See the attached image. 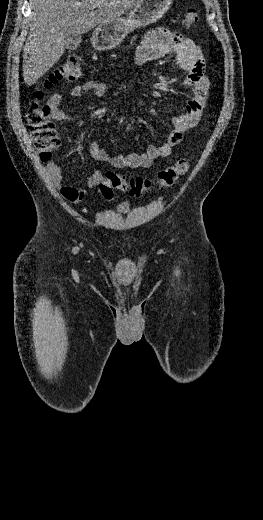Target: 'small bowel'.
Here are the masks:
<instances>
[{"instance_id":"1","label":"small bowel","mask_w":263,"mask_h":520,"mask_svg":"<svg viewBox=\"0 0 263 520\" xmlns=\"http://www.w3.org/2000/svg\"><path fill=\"white\" fill-rule=\"evenodd\" d=\"M168 55L174 56L175 69L187 72L185 85L192 90V96L184 112L172 119L173 128L167 140L159 146L149 145L142 153L118 156H111L97 142L92 141L89 143V152L93 159L100 163L109 164L117 169L150 168L157 158L169 156L173 147L182 141L185 132L199 123L207 102L210 82L205 75V62L202 53L191 39L165 28L150 30L137 46L133 61L135 64H143L162 59ZM107 91V84L95 80H87L80 85L70 88L69 95L78 98L85 93L101 96ZM62 101L63 95L59 93L49 97L47 105L50 107L51 118L57 121L74 119L73 116L61 108ZM46 168L54 185L66 200L72 203H79L84 199L86 195L85 189L67 185L61 168L55 161H49ZM102 179L103 174L100 171H96L87 179L86 185L88 188H93Z\"/></svg>"}]
</instances>
